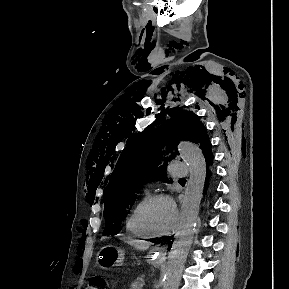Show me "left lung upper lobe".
<instances>
[{
  "mask_svg": "<svg viewBox=\"0 0 289 289\" xmlns=\"http://www.w3.org/2000/svg\"><path fill=\"white\" fill-rule=\"evenodd\" d=\"M168 114L171 119L158 128L134 136L121 153L103 194L106 223L103 235L119 233L143 184L167 180L166 165L175 157L174 151L178 153L179 140L199 144L204 157L211 151L207 131L197 115L180 107Z\"/></svg>",
  "mask_w": 289,
  "mask_h": 289,
  "instance_id": "1",
  "label": "left lung upper lobe"
}]
</instances>
